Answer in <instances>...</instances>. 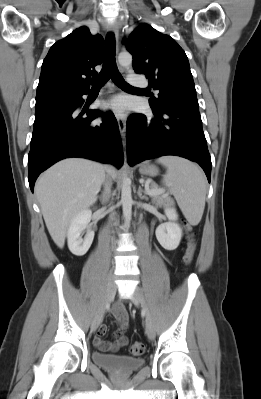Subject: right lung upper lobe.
<instances>
[{"mask_svg":"<svg viewBox=\"0 0 261 399\" xmlns=\"http://www.w3.org/2000/svg\"><path fill=\"white\" fill-rule=\"evenodd\" d=\"M104 43L101 35H92L85 26L57 41L49 50L37 87L36 103L86 93L89 85L82 76L97 72L102 63Z\"/></svg>","mask_w":261,"mask_h":399,"instance_id":"obj_1","label":"right lung upper lobe"}]
</instances>
